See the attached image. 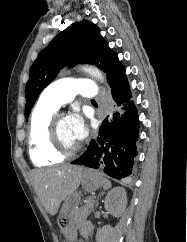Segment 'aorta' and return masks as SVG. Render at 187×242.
<instances>
[{
	"label": "aorta",
	"mask_w": 187,
	"mask_h": 242,
	"mask_svg": "<svg viewBox=\"0 0 187 242\" xmlns=\"http://www.w3.org/2000/svg\"><path fill=\"white\" fill-rule=\"evenodd\" d=\"M83 70L101 82H103L105 80L103 73L94 66H84Z\"/></svg>",
	"instance_id": "1"
}]
</instances>
